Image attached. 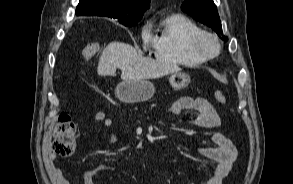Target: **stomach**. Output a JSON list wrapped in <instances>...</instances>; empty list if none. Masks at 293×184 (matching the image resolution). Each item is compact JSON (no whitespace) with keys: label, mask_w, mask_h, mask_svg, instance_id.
Returning <instances> with one entry per match:
<instances>
[{"label":"stomach","mask_w":293,"mask_h":184,"mask_svg":"<svg viewBox=\"0 0 293 184\" xmlns=\"http://www.w3.org/2000/svg\"><path fill=\"white\" fill-rule=\"evenodd\" d=\"M169 82L174 89L181 90L189 85L190 76L184 72H174L170 74ZM154 93L155 87L147 79L124 80L115 89L116 97L129 104L147 101L153 97Z\"/></svg>","instance_id":"stomach-1"}]
</instances>
